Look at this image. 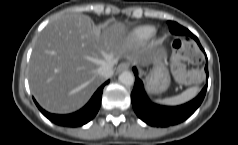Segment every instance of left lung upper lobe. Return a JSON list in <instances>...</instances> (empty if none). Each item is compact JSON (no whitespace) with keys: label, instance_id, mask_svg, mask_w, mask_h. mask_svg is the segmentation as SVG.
Segmentation results:
<instances>
[{"label":"left lung upper lobe","instance_id":"5c2ea615","mask_svg":"<svg viewBox=\"0 0 238 145\" xmlns=\"http://www.w3.org/2000/svg\"><path fill=\"white\" fill-rule=\"evenodd\" d=\"M171 22H172V21H169V22H168V24H169V28H170V26H171V24H172Z\"/></svg>","mask_w":238,"mask_h":145}]
</instances>
